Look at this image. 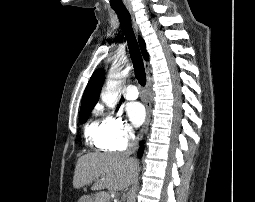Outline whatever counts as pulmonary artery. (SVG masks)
<instances>
[{"label": "pulmonary artery", "instance_id": "pulmonary-artery-1", "mask_svg": "<svg viewBox=\"0 0 255 202\" xmlns=\"http://www.w3.org/2000/svg\"><path fill=\"white\" fill-rule=\"evenodd\" d=\"M124 97L128 100H134L138 97V89L135 85L129 84L123 91Z\"/></svg>", "mask_w": 255, "mask_h": 202}]
</instances>
